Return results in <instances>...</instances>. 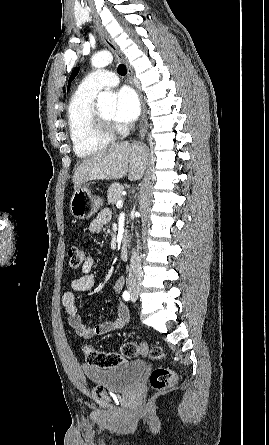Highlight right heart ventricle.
I'll return each instance as SVG.
<instances>
[{"instance_id":"e07e8e85","label":"right heart ventricle","mask_w":269,"mask_h":445,"mask_svg":"<svg viewBox=\"0 0 269 445\" xmlns=\"http://www.w3.org/2000/svg\"><path fill=\"white\" fill-rule=\"evenodd\" d=\"M96 93L80 86L73 93L67 108L68 133L75 154L88 158L110 145L113 135L99 133L93 124Z\"/></svg>"}]
</instances>
